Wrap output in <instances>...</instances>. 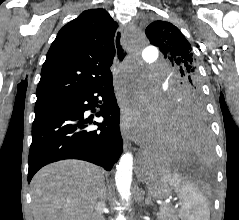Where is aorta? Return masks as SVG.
Listing matches in <instances>:
<instances>
[{
	"label": "aorta",
	"mask_w": 239,
	"mask_h": 220,
	"mask_svg": "<svg viewBox=\"0 0 239 220\" xmlns=\"http://www.w3.org/2000/svg\"><path fill=\"white\" fill-rule=\"evenodd\" d=\"M127 40H134V33L126 34ZM135 46V45H127ZM142 61H145V65H152V61H156L157 48H144ZM140 66V65H137ZM132 171H133V155L126 153L121 156L119 164L116 168L115 182L116 187L127 205L131 197V183H132Z\"/></svg>",
	"instance_id": "aorta-1"
}]
</instances>
